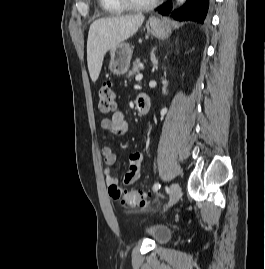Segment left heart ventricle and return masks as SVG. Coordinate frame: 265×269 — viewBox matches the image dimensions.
<instances>
[{"label":"left heart ventricle","instance_id":"left-heart-ventricle-1","mask_svg":"<svg viewBox=\"0 0 265 269\" xmlns=\"http://www.w3.org/2000/svg\"><path fill=\"white\" fill-rule=\"evenodd\" d=\"M135 1H137V2H146L148 0H135Z\"/></svg>","mask_w":265,"mask_h":269}]
</instances>
